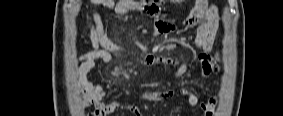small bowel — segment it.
Returning <instances> with one entry per match:
<instances>
[{
  "instance_id": "obj_1",
  "label": "small bowel",
  "mask_w": 283,
  "mask_h": 116,
  "mask_svg": "<svg viewBox=\"0 0 283 116\" xmlns=\"http://www.w3.org/2000/svg\"><path fill=\"white\" fill-rule=\"evenodd\" d=\"M93 4H101L122 17H130L138 5L137 1L133 0H92ZM155 19L153 24V38L157 39L161 35L173 31V27L162 20L161 10L152 6L149 10ZM90 32L92 49L78 57L79 62L78 76L81 89L85 95L84 107L95 108L94 115L102 116L116 111L119 108H124L141 116L142 111L134 105H120L118 102H104L105 91L102 86L94 84L87 79V74L96 66L97 63H110L112 54H126L130 49L110 40L104 32L101 17L98 12L92 11L85 15ZM203 19V20H202ZM200 20H202L200 22ZM196 25V33L193 42V47L196 50V59L200 63L201 78L208 77L212 72L218 71L217 63L220 61L218 54L211 56L215 35L218 27V10L215 7H207L206 1L198 0L196 7L192 10L189 17L185 21V26ZM140 64L142 66H158L169 72L174 80H179L183 77L188 68L192 66L190 59H170L165 57L155 58L152 56H141ZM172 65H177L173 69ZM177 92L173 89L163 91H148L142 94V98L154 102H163L172 99ZM179 93L186 99V102L191 107H196L199 104V99L196 94L189 89L181 88ZM217 101L212 99L208 103H201L202 111L210 116L212 115Z\"/></svg>"
}]
</instances>
